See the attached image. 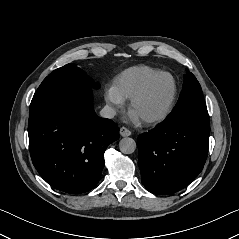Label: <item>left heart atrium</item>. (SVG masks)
Wrapping results in <instances>:
<instances>
[{
	"label": "left heart atrium",
	"instance_id": "obj_1",
	"mask_svg": "<svg viewBox=\"0 0 239 239\" xmlns=\"http://www.w3.org/2000/svg\"><path fill=\"white\" fill-rule=\"evenodd\" d=\"M129 120L131 122L134 123H138L140 122L141 118H139L134 112L130 111L129 116H128Z\"/></svg>",
	"mask_w": 239,
	"mask_h": 239
}]
</instances>
